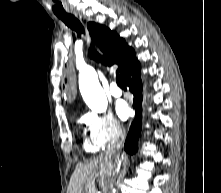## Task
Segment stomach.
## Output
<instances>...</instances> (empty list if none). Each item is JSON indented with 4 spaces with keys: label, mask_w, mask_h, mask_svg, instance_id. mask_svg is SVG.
I'll return each instance as SVG.
<instances>
[{
    "label": "stomach",
    "mask_w": 221,
    "mask_h": 193,
    "mask_svg": "<svg viewBox=\"0 0 221 193\" xmlns=\"http://www.w3.org/2000/svg\"><path fill=\"white\" fill-rule=\"evenodd\" d=\"M66 101H67V103H74L75 100H74V98H67Z\"/></svg>",
    "instance_id": "obj_1"
}]
</instances>
